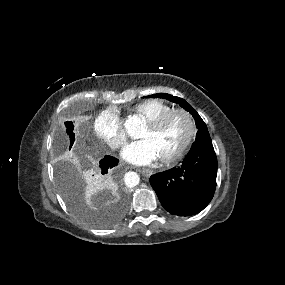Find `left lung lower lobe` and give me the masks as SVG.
Here are the masks:
<instances>
[{
  "label": "left lung lower lobe",
  "mask_w": 285,
  "mask_h": 285,
  "mask_svg": "<svg viewBox=\"0 0 285 285\" xmlns=\"http://www.w3.org/2000/svg\"><path fill=\"white\" fill-rule=\"evenodd\" d=\"M216 176V154L211 139H205L191 147L181 166L152 175L150 183L168 212L189 216L212 200Z\"/></svg>",
  "instance_id": "1"
}]
</instances>
